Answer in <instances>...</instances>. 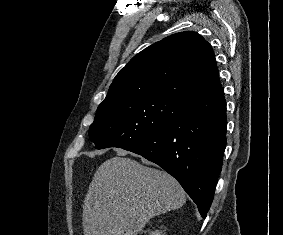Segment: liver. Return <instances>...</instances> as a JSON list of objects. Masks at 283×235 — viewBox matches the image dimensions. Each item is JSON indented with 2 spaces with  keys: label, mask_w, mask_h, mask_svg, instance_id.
Listing matches in <instances>:
<instances>
[{
  "label": "liver",
  "mask_w": 283,
  "mask_h": 235,
  "mask_svg": "<svg viewBox=\"0 0 283 235\" xmlns=\"http://www.w3.org/2000/svg\"><path fill=\"white\" fill-rule=\"evenodd\" d=\"M117 155L99 166L89 186L83 205L84 235H138L151 218L186 201L175 178L123 157L124 151Z\"/></svg>",
  "instance_id": "6515ba94"
}]
</instances>
